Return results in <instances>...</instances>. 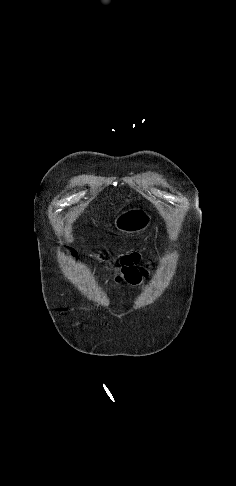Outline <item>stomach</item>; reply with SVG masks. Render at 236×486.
I'll use <instances>...</instances> for the list:
<instances>
[{
  "instance_id": "obj_1",
  "label": "stomach",
  "mask_w": 236,
  "mask_h": 486,
  "mask_svg": "<svg viewBox=\"0 0 236 486\" xmlns=\"http://www.w3.org/2000/svg\"><path fill=\"white\" fill-rule=\"evenodd\" d=\"M151 215L142 208H132L119 214L114 220L115 228L123 233L144 231L151 223Z\"/></svg>"
}]
</instances>
